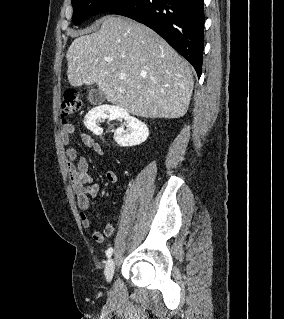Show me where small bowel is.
Listing matches in <instances>:
<instances>
[{
	"label": "small bowel",
	"instance_id": "small-bowel-1",
	"mask_svg": "<svg viewBox=\"0 0 284 319\" xmlns=\"http://www.w3.org/2000/svg\"><path fill=\"white\" fill-rule=\"evenodd\" d=\"M74 132V125L64 124L61 131L62 143L68 145L70 135ZM81 140L86 147L92 149L96 154H103L101 146L90 134L83 133L81 135ZM66 158L67 173L72 190L76 194L78 208L81 211L80 221L84 228H89L91 226V219L87 211L90 208V199L99 194L100 187L90 174L86 159L80 156L74 148L70 147L67 149ZM106 179L110 183H115L117 181V175L114 171L109 170L106 172ZM114 231V226L111 223H108L104 226L102 231L94 230L92 232V238L94 241L102 243L106 238L111 237L114 234Z\"/></svg>",
	"mask_w": 284,
	"mask_h": 319
}]
</instances>
